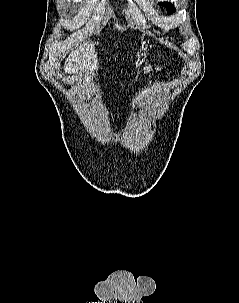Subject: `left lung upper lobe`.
I'll return each mask as SVG.
<instances>
[{
    "label": "left lung upper lobe",
    "instance_id": "obj_1",
    "mask_svg": "<svg viewBox=\"0 0 239 303\" xmlns=\"http://www.w3.org/2000/svg\"><path fill=\"white\" fill-rule=\"evenodd\" d=\"M161 5H165L168 7V12L169 14L175 12V8L174 6L171 4V3H168V2H163V3H160Z\"/></svg>",
    "mask_w": 239,
    "mask_h": 303
}]
</instances>
